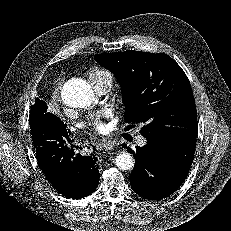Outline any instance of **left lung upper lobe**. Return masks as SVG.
Masks as SVG:
<instances>
[{
	"instance_id": "5c2ea615",
	"label": "left lung upper lobe",
	"mask_w": 231,
	"mask_h": 231,
	"mask_svg": "<svg viewBox=\"0 0 231 231\" xmlns=\"http://www.w3.org/2000/svg\"><path fill=\"white\" fill-rule=\"evenodd\" d=\"M117 78L124 119L144 123L141 134L167 144L196 140L198 125L190 82L168 55L127 50L94 56Z\"/></svg>"
}]
</instances>
